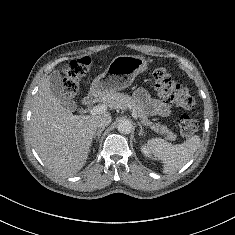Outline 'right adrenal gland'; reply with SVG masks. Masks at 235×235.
Masks as SVG:
<instances>
[{
    "mask_svg": "<svg viewBox=\"0 0 235 235\" xmlns=\"http://www.w3.org/2000/svg\"><path fill=\"white\" fill-rule=\"evenodd\" d=\"M104 129H105V127L98 129L97 132L94 134V137H93V138H94L95 140L99 141V140H100V137H101V134H102V132L104 131Z\"/></svg>",
    "mask_w": 235,
    "mask_h": 235,
    "instance_id": "obj_1",
    "label": "right adrenal gland"
}]
</instances>
